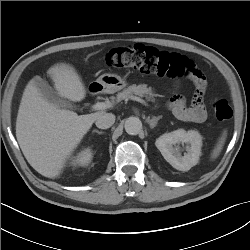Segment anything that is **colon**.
Returning a JSON list of instances; mask_svg holds the SVG:
<instances>
[{"instance_id": "1", "label": "colon", "mask_w": 250, "mask_h": 250, "mask_svg": "<svg viewBox=\"0 0 250 250\" xmlns=\"http://www.w3.org/2000/svg\"><path fill=\"white\" fill-rule=\"evenodd\" d=\"M105 62L109 67L133 68L142 73L157 74L168 78L186 77L194 80L196 90L193 101H202L206 92V80L194 62L185 55L162 51L151 46L131 45L110 50ZM216 119L227 123L233 116L232 108L225 99H216L212 105Z\"/></svg>"}]
</instances>
